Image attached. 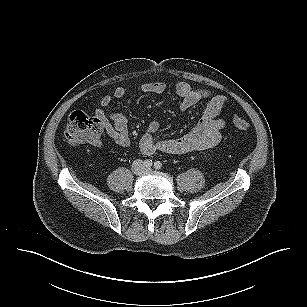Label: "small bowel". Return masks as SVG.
Returning a JSON list of instances; mask_svg holds the SVG:
<instances>
[{"mask_svg": "<svg viewBox=\"0 0 307 307\" xmlns=\"http://www.w3.org/2000/svg\"><path fill=\"white\" fill-rule=\"evenodd\" d=\"M138 90L143 93L162 94L166 91V85L162 82H148L141 84ZM127 91L126 87L118 86L113 95L116 98H123ZM175 92L181 98L179 105L181 110L201 104L203 106L202 116L190 132L177 138L156 140L154 136L160 130V124L157 121L149 123L139 142V149L145 155H152L156 152L186 155L213 148L221 141L226 123L219 117V114L230 105L229 99L210 90L195 89L184 81L176 83ZM111 101L112 96L106 95L102 98L101 105L106 107ZM95 114L106 134L116 145L121 148L130 146L131 139L125 114L122 112L107 114L102 107L97 108ZM93 144L100 146L101 142L98 140Z\"/></svg>", "mask_w": 307, "mask_h": 307, "instance_id": "small-bowel-1", "label": "small bowel"}]
</instances>
